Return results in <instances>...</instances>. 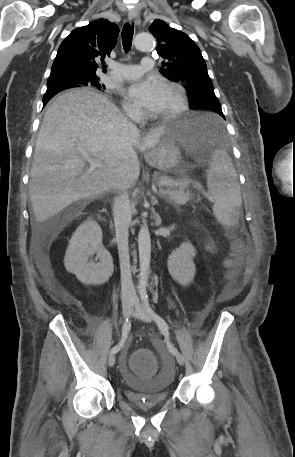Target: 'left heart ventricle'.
Listing matches in <instances>:
<instances>
[{"mask_svg": "<svg viewBox=\"0 0 295 457\" xmlns=\"http://www.w3.org/2000/svg\"><path fill=\"white\" fill-rule=\"evenodd\" d=\"M176 103H177V98H176L175 93L172 90L163 87L160 101H159L157 107L155 108V110L152 112L154 114H160V113L167 112V111L171 110L172 108H174Z\"/></svg>", "mask_w": 295, "mask_h": 457, "instance_id": "1", "label": "left heart ventricle"}]
</instances>
